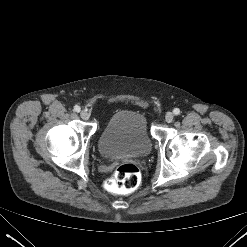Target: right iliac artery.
<instances>
[{
  "label": "right iliac artery",
  "instance_id": "obj_1",
  "mask_svg": "<svg viewBox=\"0 0 247 247\" xmlns=\"http://www.w3.org/2000/svg\"><path fill=\"white\" fill-rule=\"evenodd\" d=\"M80 110H81V108L78 105L74 106V111L75 112H80Z\"/></svg>",
  "mask_w": 247,
  "mask_h": 247
}]
</instances>
